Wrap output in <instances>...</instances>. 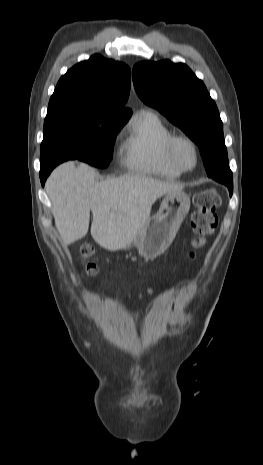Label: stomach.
Instances as JSON below:
<instances>
[{"label":"stomach","instance_id":"obj_1","mask_svg":"<svg viewBox=\"0 0 263 465\" xmlns=\"http://www.w3.org/2000/svg\"><path fill=\"white\" fill-rule=\"evenodd\" d=\"M190 209V198L183 191L169 192L162 200L156 215L149 217L139 228L132 242L122 248H137L146 259L161 255L172 243Z\"/></svg>","mask_w":263,"mask_h":465}]
</instances>
